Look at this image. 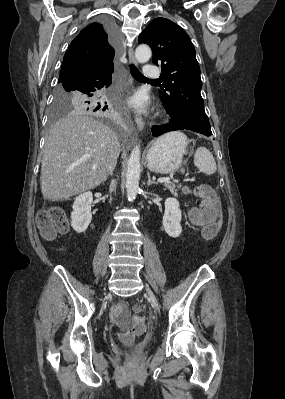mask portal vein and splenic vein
I'll list each match as a JSON object with an SVG mask.
<instances>
[{"label": "portal vein and splenic vein", "instance_id": "obj_1", "mask_svg": "<svg viewBox=\"0 0 285 399\" xmlns=\"http://www.w3.org/2000/svg\"><path fill=\"white\" fill-rule=\"evenodd\" d=\"M92 169H93L94 171L96 170L95 167H93ZM157 181H158L159 183H167V182L170 181V178H169V177H163V178L158 179Z\"/></svg>", "mask_w": 285, "mask_h": 399}]
</instances>
